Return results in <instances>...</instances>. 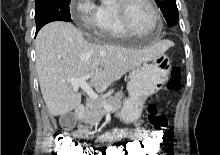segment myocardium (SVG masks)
I'll return each mask as SVG.
<instances>
[{"label":"myocardium","instance_id":"f54148a6","mask_svg":"<svg viewBox=\"0 0 220 155\" xmlns=\"http://www.w3.org/2000/svg\"><path fill=\"white\" fill-rule=\"evenodd\" d=\"M134 1L135 0H118L116 4L120 21L123 27L125 28V30L131 35H149L158 31L161 27V17L157 9V6L153 0H143L145 3L148 4L153 14V18H154L153 28L148 31H139L132 26L128 16V9L130 4Z\"/></svg>","mask_w":220,"mask_h":155}]
</instances>
